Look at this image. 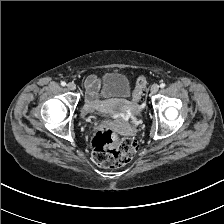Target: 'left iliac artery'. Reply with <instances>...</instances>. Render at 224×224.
<instances>
[{"instance_id": "left-iliac-artery-1", "label": "left iliac artery", "mask_w": 224, "mask_h": 224, "mask_svg": "<svg viewBox=\"0 0 224 224\" xmlns=\"http://www.w3.org/2000/svg\"><path fill=\"white\" fill-rule=\"evenodd\" d=\"M165 86H166L165 83H161V84H160V87H161V88H164Z\"/></svg>"}]
</instances>
